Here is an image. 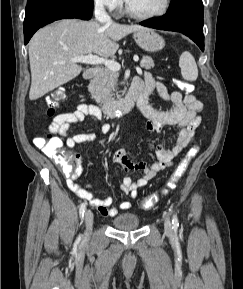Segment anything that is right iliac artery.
<instances>
[{"label":"right iliac artery","instance_id":"82829eb1","mask_svg":"<svg viewBox=\"0 0 243 289\" xmlns=\"http://www.w3.org/2000/svg\"><path fill=\"white\" fill-rule=\"evenodd\" d=\"M86 205H87V203H82V204H81L80 209H79V215H80V217H83L84 212H85V210H86Z\"/></svg>","mask_w":243,"mask_h":289}]
</instances>
